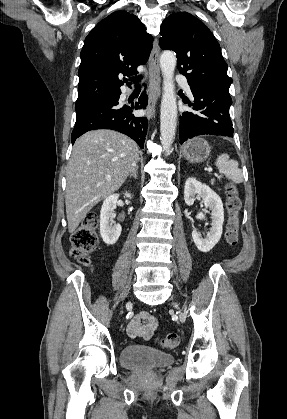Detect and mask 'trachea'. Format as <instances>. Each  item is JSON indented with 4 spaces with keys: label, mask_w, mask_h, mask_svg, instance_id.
Segmentation results:
<instances>
[{
    "label": "trachea",
    "mask_w": 287,
    "mask_h": 419,
    "mask_svg": "<svg viewBox=\"0 0 287 419\" xmlns=\"http://www.w3.org/2000/svg\"><path fill=\"white\" fill-rule=\"evenodd\" d=\"M141 79V76H138L137 78H136V87L137 88H139L140 87V85L137 83V81H139Z\"/></svg>",
    "instance_id": "1"
}]
</instances>
